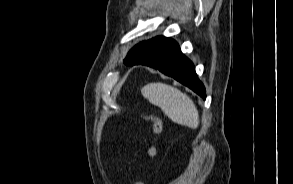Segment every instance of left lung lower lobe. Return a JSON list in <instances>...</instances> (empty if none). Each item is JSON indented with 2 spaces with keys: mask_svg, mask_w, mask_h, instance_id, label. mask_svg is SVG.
Instances as JSON below:
<instances>
[{
  "mask_svg": "<svg viewBox=\"0 0 293 184\" xmlns=\"http://www.w3.org/2000/svg\"><path fill=\"white\" fill-rule=\"evenodd\" d=\"M146 50L149 57L135 65L156 68L189 87L203 99L206 98L205 87L198 79L193 63L182 54L175 40L163 36L154 37L147 42Z\"/></svg>",
  "mask_w": 293,
  "mask_h": 184,
  "instance_id": "1",
  "label": "left lung lower lobe"
}]
</instances>
